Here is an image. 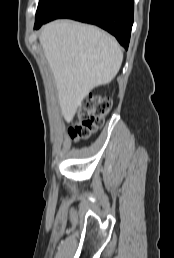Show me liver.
Listing matches in <instances>:
<instances>
[{
	"label": "liver",
	"instance_id": "1",
	"mask_svg": "<svg viewBox=\"0 0 174 258\" xmlns=\"http://www.w3.org/2000/svg\"><path fill=\"white\" fill-rule=\"evenodd\" d=\"M39 40L55 78L62 115L70 121L92 89L116 76L123 53L108 33L70 20L46 24Z\"/></svg>",
	"mask_w": 174,
	"mask_h": 258
}]
</instances>
